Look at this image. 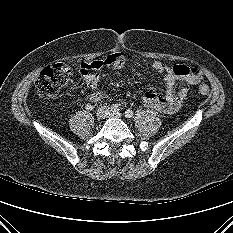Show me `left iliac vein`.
<instances>
[{"label":"left iliac vein","instance_id":"left-iliac-vein-1","mask_svg":"<svg viewBox=\"0 0 233 233\" xmlns=\"http://www.w3.org/2000/svg\"><path fill=\"white\" fill-rule=\"evenodd\" d=\"M109 117H116V118H120V117H121V114H120V113H118V112H117V113H112V112H111V113L109 114Z\"/></svg>","mask_w":233,"mask_h":233}]
</instances>
